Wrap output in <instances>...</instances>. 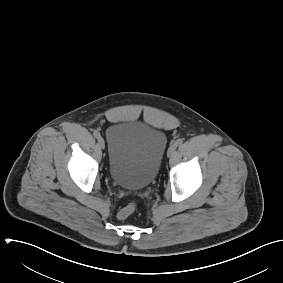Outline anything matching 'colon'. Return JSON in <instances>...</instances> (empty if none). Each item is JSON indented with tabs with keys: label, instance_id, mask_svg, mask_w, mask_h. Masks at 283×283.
Listing matches in <instances>:
<instances>
[{
	"label": "colon",
	"instance_id": "obj_1",
	"mask_svg": "<svg viewBox=\"0 0 283 283\" xmlns=\"http://www.w3.org/2000/svg\"><path fill=\"white\" fill-rule=\"evenodd\" d=\"M135 209H136V203L135 202L129 203L127 206H125L118 212V218L126 219L135 211Z\"/></svg>",
	"mask_w": 283,
	"mask_h": 283
}]
</instances>
